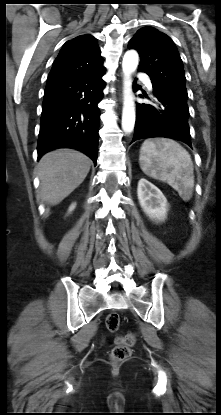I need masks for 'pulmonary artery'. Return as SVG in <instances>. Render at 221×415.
<instances>
[{
	"mask_svg": "<svg viewBox=\"0 0 221 415\" xmlns=\"http://www.w3.org/2000/svg\"><path fill=\"white\" fill-rule=\"evenodd\" d=\"M138 77L140 80H142L145 83V85L147 86L149 90L152 89V83L150 79L148 78V76H146L145 74H139Z\"/></svg>",
	"mask_w": 221,
	"mask_h": 415,
	"instance_id": "obj_1",
	"label": "pulmonary artery"
}]
</instances>
